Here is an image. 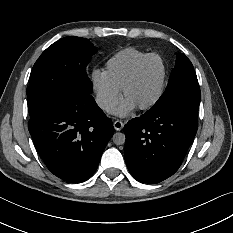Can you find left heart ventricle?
Masks as SVG:
<instances>
[{
	"mask_svg": "<svg viewBox=\"0 0 233 233\" xmlns=\"http://www.w3.org/2000/svg\"><path fill=\"white\" fill-rule=\"evenodd\" d=\"M163 78V61L158 57L152 58L127 90L126 97L133 100L138 107L151 103L159 93Z\"/></svg>",
	"mask_w": 233,
	"mask_h": 233,
	"instance_id": "obj_1",
	"label": "left heart ventricle"
}]
</instances>
